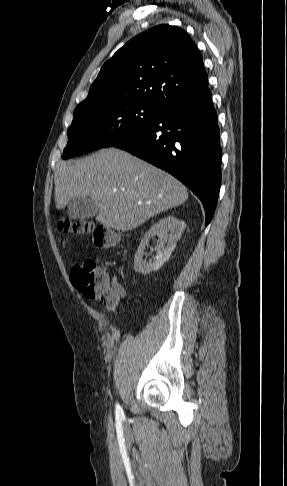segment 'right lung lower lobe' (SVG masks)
I'll return each instance as SVG.
<instances>
[{
    "label": "right lung lower lobe",
    "instance_id": "right-lung-lower-lobe-1",
    "mask_svg": "<svg viewBox=\"0 0 287 486\" xmlns=\"http://www.w3.org/2000/svg\"><path fill=\"white\" fill-rule=\"evenodd\" d=\"M208 86L161 105L138 135L114 147L169 172L201 200L210 223L221 186L222 151Z\"/></svg>",
    "mask_w": 287,
    "mask_h": 486
}]
</instances>
